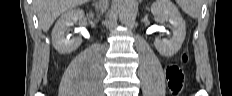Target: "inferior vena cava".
I'll list each match as a JSON object with an SVG mask.
<instances>
[{"label":"inferior vena cava","instance_id":"obj_1","mask_svg":"<svg viewBox=\"0 0 232 96\" xmlns=\"http://www.w3.org/2000/svg\"><path fill=\"white\" fill-rule=\"evenodd\" d=\"M108 2H109L108 0H100V4H102V6H101V11L102 12H104L107 9Z\"/></svg>","mask_w":232,"mask_h":96}]
</instances>
